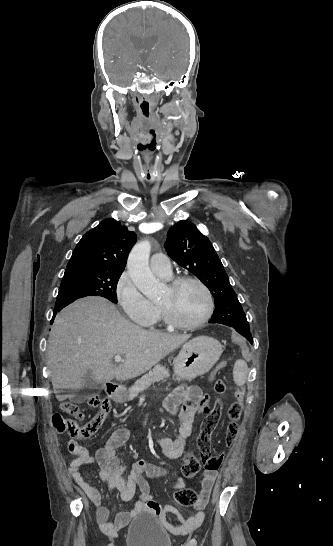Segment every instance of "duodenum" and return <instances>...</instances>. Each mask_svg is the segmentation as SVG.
Wrapping results in <instances>:
<instances>
[{"mask_svg":"<svg viewBox=\"0 0 333 546\" xmlns=\"http://www.w3.org/2000/svg\"><path fill=\"white\" fill-rule=\"evenodd\" d=\"M107 393L112 400H117L121 395V388L115 384H108Z\"/></svg>","mask_w":333,"mask_h":546,"instance_id":"obj_1","label":"duodenum"}]
</instances>
